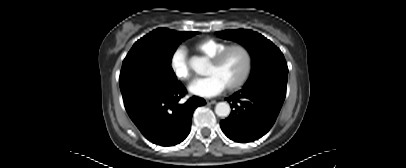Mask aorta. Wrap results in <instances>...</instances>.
Here are the masks:
<instances>
[{"label": "aorta", "instance_id": "762f6f07", "mask_svg": "<svg viewBox=\"0 0 406 168\" xmlns=\"http://www.w3.org/2000/svg\"><path fill=\"white\" fill-rule=\"evenodd\" d=\"M190 66L197 74L204 75L207 68V63L203 58H192L190 60ZM230 111V105L226 102H219L215 107V113L219 117L229 116Z\"/></svg>", "mask_w": 406, "mask_h": 168}]
</instances>
